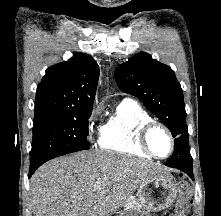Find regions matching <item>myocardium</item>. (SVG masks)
<instances>
[{
	"mask_svg": "<svg viewBox=\"0 0 221 216\" xmlns=\"http://www.w3.org/2000/svg\"><path fill=\"white\" fill-rule=\"evenodd\" d=\"M155 129H161L162 131H164L166 133V135L169 138L170 151L167 155H164V156L158 155L157 153L154 152V150L151 148V146L149 144L150 135ZM137 143L142 151H144L148 155L153 156L157 159L168 158L173 154V152L175 150V139H174L172 132L164 123L159 122V121H155V120H152V121L142 125L139 128L138 134H137Z\"/></svg>",
	"mask_w": 221,
	"mask_h": 216,
	"instance_id": "f54148a6",
	"label": "myocardium"
}]
</instances>
